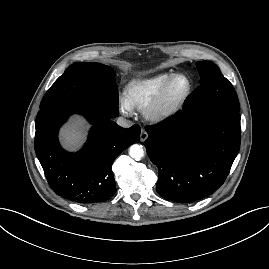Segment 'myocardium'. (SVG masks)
Listing matches in <instances>:
<instances>
[{
  "label": "myocardium",
  "mask_w": 269,
  "mask_h": 269,
  "mask_svg": "<svg viewBox=\"0 0 269 269\" xmlns=\"http://www.w3.org/2000/svg\"><path fill=\"white\" fill-rule=\"evenodd\" d=\"M183 78L187 82L185 92L174 101H167L168 91L173 82ZM192 92V83L190 78L183 73H176L161 86L152 101L143 110L145 118L152 122H162L175 115L186 103Z\"/></svg>",
  "instance_id": "f54148a6"
}]
</instances>
